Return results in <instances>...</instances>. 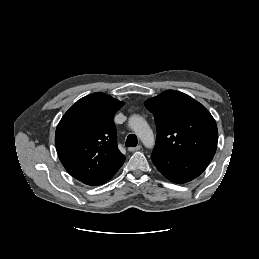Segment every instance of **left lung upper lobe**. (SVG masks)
<instances>
[{
  "mask_svg": "<svg viewBox=\"0 0 259 259\" xmlns=\"http://www.w3.org/2000/svg\"><path fill=\"white\" fill-rule=\"evenodd\" d=\"M145 106L156 122L154 150L181 159H213L217 125L202 104L182 92L168 90L148 99Z\"/></svg>",
  "mask_w": 259,
  "mask_h": 259,
  "instance_id": "1",
  "label": "left lung upper lobe"
}]
</instances>
